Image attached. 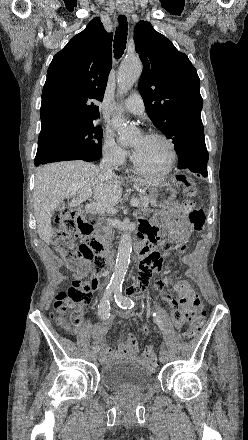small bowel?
<instances>
[{"instance_id":"obj_1","label":"small bowel","mask_w":248,"mask_h":440,"mask_svg":"<svg viewBox=\"0 0 248 440\" xmlns=\"http://www.w3.org/2000/svg\"><path fill=\"white\" fill-rule=\"evenodd\" d=\"M141 232L139 236L148 241L153 246L159 239L161 230L168 227L172 230L177 238H182L183 241L191 231L189 223L181 220L180 212L177 208H168L161 213L156 214L153 219L148 222L140 220ZM185 248L183 242L180 249ZM183 262L191 265L194 262V256L186 255L183 257ZM176 259L170 257H159V254L154 253L150 257L142 258V266L140 267L139 286L144 287L148 284L152 272H155L157 279L152 284L147 285L146 290L149 293L157 292L159 290L161 298L165 301L172 313V323L176 328H181L187 321L191 312L200 307L199 300L190 284L185 280L177 282L176 277L172 276V267L177 266ZM92 271V276H97V272H104V267H95ZM95 288L98 286V278L94 279ZM167 285L170 291L175 290L176 296L172 297L167 292L163 291V287ZM75 314L82 316L83 310L78 308ZM127 316V314H124ZM112 316L105 319L104 322L96 324L91 328V334L94 342L101 348L100 361L103 363L118 359H128L130 361H138L136 338L133 334L124 335L119 341L117 347L113 349L106 343V335L110 329ZM75 333L76 330H73Z\"/></svg>"}]
</instances>
